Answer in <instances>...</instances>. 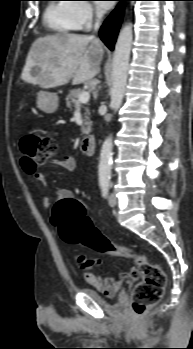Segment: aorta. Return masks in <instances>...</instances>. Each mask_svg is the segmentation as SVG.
Instances as JSON below:
<instances>
[{"instance_id": "aorta-1", "label": "aorta", "mask_w": 193, "mask_h": 349, "mask_svg": "<svg viewBox=\"0 0 193 349\" xmlns=\"http://www.w3.org/2000/svg\"><path fill=\"white\" fill-rule=\"evenodd\" d=\"M133 31L132 24L126 23L118 36L113 62H112V86L110 89V107L117 112L121 107L125 87L127 84L130 52L132 47ZM112 137L109 136L102 145L98 166L100 182L109 181L111 178L112 165Z\"/></svg>"}]
</instances>
